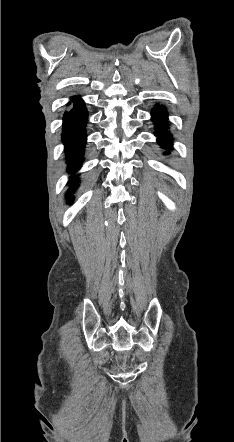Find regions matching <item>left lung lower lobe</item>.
Listing matches in <instances>:
<instances>
[{
  "label": "left lung lower lobe",
  "instance_id": "0a47b994",
  "mask_svg": "<svg viewBox=\"0 0 234 442\" xmlns=\"http://www.w3.org/2000/svg\"><path fill=\"white\" fill-rule=\"evenodd\" d=\"M153 122L156 124L155 134L159 136L158 142L162 147H170V141L172 137L168 134L167 128V114L164 108L157 107L153 111Z\"/></svg>",
  "mask_w": 234,
  "mask_h": 442
}]
</instances>
